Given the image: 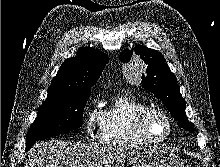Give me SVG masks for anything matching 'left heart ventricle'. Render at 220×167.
Returning a JSON list of instances; mask_svg holds the SVG:
<instances>
[{"label": "left heart ventricle", "instance_id": "1", "mask_svg": "<svg viewBox=\"0 0 220 167\" xmlns=\"http://www.w3.org/2000/svg\"><path fill=\"white\" fill-rule=\"evenodd\" d=\"M147 130L151 137L162 138L169 130L167 122L159 115H151L147 120Z\"/></svg>", "mask_w": 220, "mask_h": 167}]
</instances>
